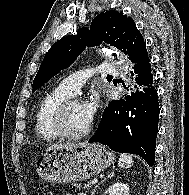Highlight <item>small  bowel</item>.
Here are the masks:
<instances>
[{
    "label": "small bowel",
    "instance_id": "c3829d8e",
    "mask_svg": "<svg viewBox=\"0 0 189 195\" xmlns=\"http://www.w3.org/2000/svg\"><path fill=\"white\" fill-rule=\"evenodd\" d=\"M65 195H71V194H65ZM81 195H83V194H81Z\"/></svg>",
    "mask_w": 189,
    "mask_h": 195
}]
</instances>
